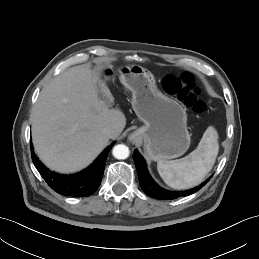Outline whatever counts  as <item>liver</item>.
<instances>
[{"mask_svg": "<svg viewBox=\"0 0 259 259\" xmlns=\"http://www.w3.org/2000/svg\"><path fill=\"white\" fill-rule=\"evenodd\" d=\"M114 97L99 72L89 65L72 67L53 78L41 91L32 111V139L42 162L60 173L90 165L108 145L106 127L118 137L126 125Z\"/></svg>", "mask_w": 259, "mask_h": 259, "instance_id": "obj_1", "label": "liver"}]
</instances>
